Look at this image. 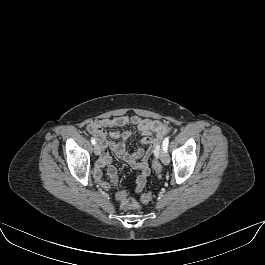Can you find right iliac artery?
Segmentation results:
<instances>
[{"instance_id":"right-iliac-artery-1","label":"right iliac artery","mask_w":265,"mask_h":265,"mask_svg":"<svg viewBox=\"0 0 265 265\" xmlns=\"http://www.w3.org/2000/svg\"><path fill=\"white\" fill-rule=\"evenodd\" d=\"M91 143H92L93 145H95V144H96V141H95V139H94V138H92V139H91Z\"/></svg>"}]
</instances>
